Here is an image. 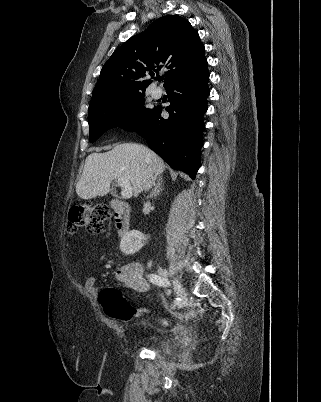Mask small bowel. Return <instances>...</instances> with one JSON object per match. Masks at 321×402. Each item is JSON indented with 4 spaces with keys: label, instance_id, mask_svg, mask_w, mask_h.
Returning a JSON list of instances; mask_svg holds the SVG:
<instances>
[{
    "label": "small bowel",
    "instance_id": "1",
    "mask_svg": "<svg viewBox=\"0 0 321 402\" xmlns=\"http://www.w3.org/2000/svg\"><path fill=\"white\" fill-rule=\"evenodd\" d=\"M116 277L125 288L138 293H145L150 289V283L144 276L143 266L138 262H130L123 265L117 271ZM86 286L90 290H97L93 278L87 280Z\"/></svg>",
    "mask_w": 321,
    "mask_h": 402
}]
</instances>
